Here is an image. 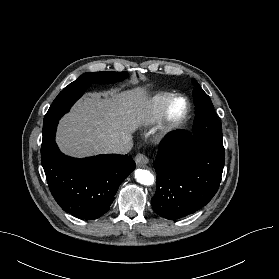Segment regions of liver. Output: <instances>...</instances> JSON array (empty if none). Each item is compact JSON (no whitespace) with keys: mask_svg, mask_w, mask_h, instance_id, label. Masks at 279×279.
<instances>
[{"mask_svg":"<svg viewBox=\"0 0 279 279\" xmlns=\"http://www.w3.org/2000/svg\"><path fill=\"white\" fill-rule=\"evenodd\" d=\"M146 91L89 93L79 100L58 126L56 142L73 157L106 153L108 145L131 139L147 116Z\"/></svg>","mask_w":279,"mask_h":279,"instance_id":"obj_1","label":"liver"}]
</instances>
